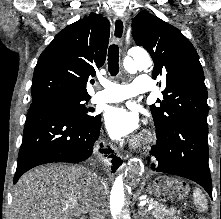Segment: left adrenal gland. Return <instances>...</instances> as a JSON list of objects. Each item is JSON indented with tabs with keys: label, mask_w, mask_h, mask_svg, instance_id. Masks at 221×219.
Returning a JSON list of instances; mask_svg holds the SVG:
<instances>
[{
	"label": "left adrenal gland",
	"mask_w": 221,
	"mask_h": 219,
	"mask_svg": "<svg viewBox=\"0 0 221 219\" xmlns=\"http://www.w3.org/2000/svg\"><path fill=\"white\" fill-rule=\"evenodd\" d=\"M141 209V208H140ZM146 212L147 211H145V213H143L142 211H138V214H139V216H140V219H146V218H148V216L146 215Z\"/></svg>",
	"instance_id": "obj_1"
}]
</instances>
